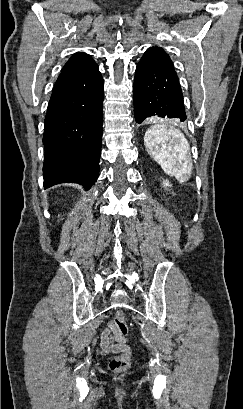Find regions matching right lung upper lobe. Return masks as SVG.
<instances>
[{
  "label": "right lung upper lobe",
  "mask_w": 243,
  "mask_h": 409,
  "mask_svg": "<svg viewBox=\"0 0 243 409\" xmlns=\"http://www.w3.org/2000/svg\"><path fill=\"white\" fill-rule=\"evenodd\" d=\"M97 66L92 57L86 53H75L63 67L61 73L78 74L87 72Z\"/></svg>",
  "instance_id": "right-lung-upper-lobe-1"
}]
</instances>
